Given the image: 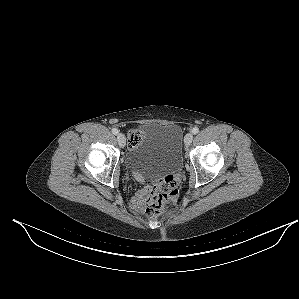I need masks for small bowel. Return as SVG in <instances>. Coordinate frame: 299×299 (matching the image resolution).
<instances>
[{
    "instance_id": "c3829d8e",
    "label": "small bowel",
    "mask_w": 299,
    "mask_h": 299,
    "mask_svg": "<svg viewBox=\"0 0 299 299\" xmlns=\"http://www.w3.org/2000/svg\"><path fill=\"white\" fill-rule=\"evenodd\" d=\"M152 187H144L142 190L137 192L133 199V206L137 209H143L147 206L150 196H151Z\"/></svg>"
}]
</instances>
